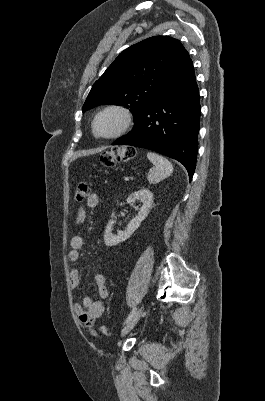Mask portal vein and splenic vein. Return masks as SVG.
Segmentation results:
<instances>
[{
    "label": "portal vein and splenic vein",
    "instance_id": "18ae733b",
    "mask_svg": "<svg viewBox=\"0 0 265 401\" xmlns=\"http://www.w3.org/2000/svg\"><path fill=\"white\" fill-rule=\"evenodd\" d=\"M123 180H124V181H128V180H129V177H128V176H124V177H123Z\"/></svg>",
    "mask_w": 265,
    "mask_h": 401
}]
</instances>
